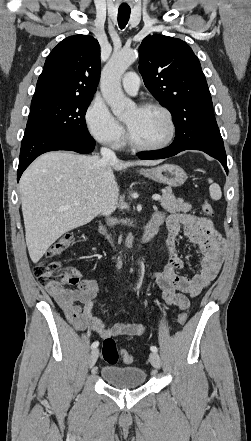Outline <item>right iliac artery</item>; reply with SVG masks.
<instances>
[{
	"instance_id": "right-iliac-artery-1",
	"label": "right iliac artery",
	"mask_w": 251,
	"mask_h": 441,
	"mask_svg": "<svg viewBox=\"0 0 251 441\" xmlns=\"http://www.w3.org/2000/svg\"><path fill=\"white\" fill-rule=\"evenodd\" d=\"M98 345H99V342H98V341H95V342L92 343L91 348H92V349H95V348L98 347Z\"/></svg>"
}]
</instances>
